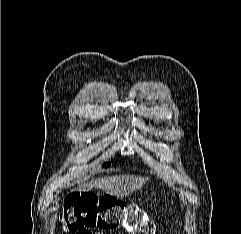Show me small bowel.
Here are the masks:
<instances>
[{"label": "small bowel", "mask_w": 241, "mask_h": 234, "mask_svg": "<svg viewBox=\"0 0 241 234\" xmlns=\"http://www.w3.org/2000/svg\"><path fill=\"white\" fill-rule=\"evenodd\" d=\"M77 234H92L89 230H81Z\"/></svg>", "instance_id": "c3829d8e"}]
</instances>
